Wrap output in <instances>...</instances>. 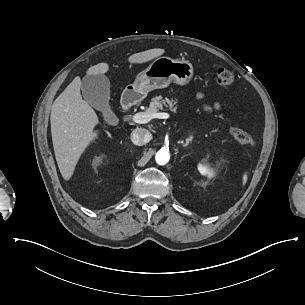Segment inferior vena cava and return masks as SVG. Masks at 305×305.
<instances>
[{"mask_svg": "<svg viewBox=\"0 0 305 305\" xmlns=\"http://www.w3.org/2000/svg\"><path fill=\"white\" fill-rule=\"evenodd\" d=\"M150 140L151 134L146 129L137 128L131 134V141L137 146H142Z\"/></svg>", "mask_w": 305, "mask_h": 305, "instance_id": "inferior-vena-cava-1", "label": "inferior vena cava"}]
</instances>
